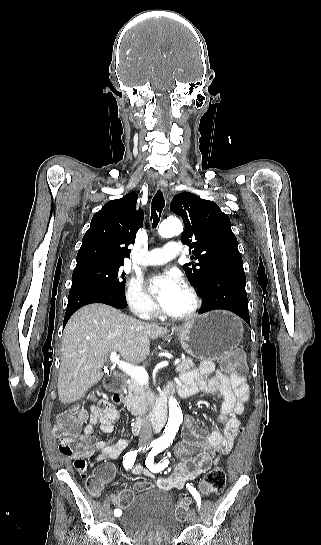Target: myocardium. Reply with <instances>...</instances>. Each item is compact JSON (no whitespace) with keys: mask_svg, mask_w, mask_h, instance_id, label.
<instances>
[{"mask_svg":"<svg viewBox=\"0 0 321 545\" xmlns=\"http://www.w3.org/2000/svg\"><path fill=\"white\" fill-rule=\"evenodd\" d=\"M182 288L185 289L192 297V300H193L192 308L188 312L182 313V314H172L168 312L165 313L167 317L174 320H181V321L190 320L194 318L200 312L203 305V301L200 296V293L197 291V289L194 286H192L189 283H184L182 285Z\"/></svg>","mask_w":321,"mask_h":545,"instance_id":"obj_1","label":"myocardium"}]
</instances>
